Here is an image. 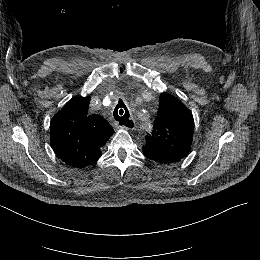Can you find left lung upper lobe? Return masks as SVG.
I'll list each match as a JSON object with an SVG mask.
<instances>
[{
    "mask_svg": "<svg viewBox=\"0 0 260 260\" xmlns=\"http://www.w3.org/2000/svg\"><path fill=\"white\" fill-rule=\"evenodd\" d=\"M194 131L191 111L176 97L163 93L151 135L146 136L143 153L163 165L181 161L189 152Z\"/></svg>",
    "mask_w": 260,
    "mask_h": 260,
    "instance_id": "left-lung-upper-lobe-1",
    "label": "left lung upper lobe"
}]
</instances>
